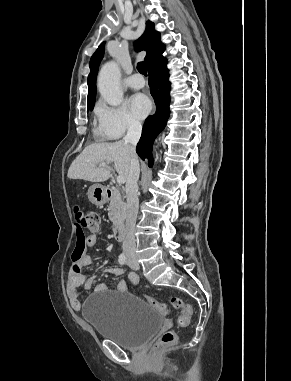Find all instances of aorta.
Masks as SVG:
<instances>
[{
  "label": "aorta",
  "instance_id": "aorta-1",
  "mask_svg": "<svg viewBox=\"0 0 291 381\" xmlns=\"http://www.w3.org/2000/svg\"><path fill=\"white\" fill-rule=\"evenodd\" d=\"M120 77V68L115 61L105 63L98 75L100 95L111 106H119L123 101Z\"/></svg>",
  "mask_w": 291,
  "mask_h": 381
}]
</instances>
